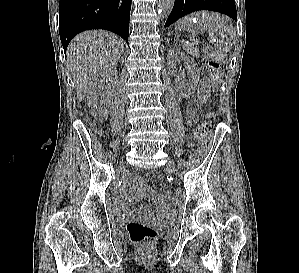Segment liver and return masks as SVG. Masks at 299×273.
<instances>
[{
  "label": "liver",
  "mask_w": 299,
  "mask_h": 273,
  "mask_svg": "<svg viewBox=\"0 0 299 273\" xmlns=\"http://www.w3.org/2000/svg\"><path fill=\"white\" fill-rule=\"evenodd\" d=\"M123 53V41L107 31H86L71 41L66 54L67 67L73 75L79 101L84 99L91 79L116 65Z\"/></svg>",
  "instance_id": "6515ba94"
}]
</instances>
